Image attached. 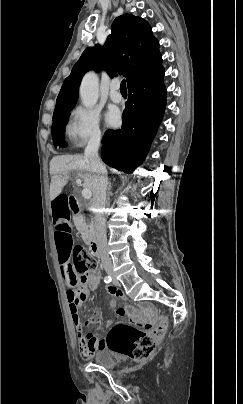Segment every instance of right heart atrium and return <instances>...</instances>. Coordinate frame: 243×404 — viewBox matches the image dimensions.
<instances>
[{
  "label": "right heart atrium",
  "mask_w": 243,
  "mask_h": 404,
  "mask_svg": "<svg viewBox=\"0 0 243 404\" xmlns=\"http://www.w3.org/2000/svg\"><path fill=\"white\" fill-rule=\"evenodd\" d=\"M65 136L69 146L74 150L100 143L102 132L99 112L83 105L74 106L68 115Z\"/></svg>",
  "instance_id": "1"
}]
</instances>
